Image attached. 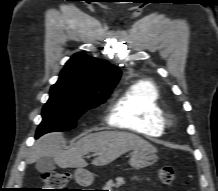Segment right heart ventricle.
Returning a JSON list of instances; mask_svg holds the SVG:
<instances>
[{
    "mask_svg": "<svg viewBox=\"0 0 218 191\" xmlns=\"http://www.w3.org/2000/svg\"><path fill=\"white\" fill-rule=\"evenodd\" d=\"M164 116L165 110L156 85L150 81H138L116 100L109 122L119 128L153 137L164 132Z\"/></svg>",
    "mask_w": 218,
    "mask_h": 191,
    "instance_id": "obj_1",
    "label": "right heart ventricle"
}]
</instances>
